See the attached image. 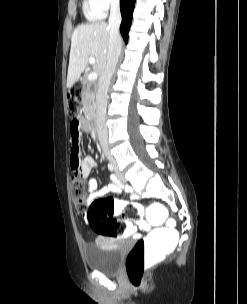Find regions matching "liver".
<instances>
[{
	"label": "liver",
	"mask_w": 247,
	"mask_h": 304,
	"mask_svg": "<svg viewBox=\"0 0 247 304\" xmlns=\"http://www.w3.org/2000/svg\"><path fill=\"white\" fill-rule=\"evenodd\" d=\"M110 27L105 22L79 25L71 38V50L67 75V87L70 88L79 79L88 65L89 57H95L94 71L102 75L109 48Z\"/></svg>",
	"instance_id": "obj_1"
}]
</instances>
